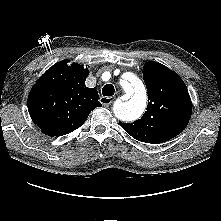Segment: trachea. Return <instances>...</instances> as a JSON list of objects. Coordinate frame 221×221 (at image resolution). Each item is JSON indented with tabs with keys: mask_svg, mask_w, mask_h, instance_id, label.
<instances>
[{
	"mask_svg": "<svg viewBox=\"0 0 221 221\" xmlns=\"http://www.w3.org/2000/svg\"><path fill=\"white\" fill-rule=\"evenodd\" d=\"M114 92H115V89H114V86L112 84H106L102 88L103 96H112V95H114Z\"/></svg>",
	"mask_w": 221,
	"mask_h": 221,
	"instance_id": "1",
	"label": "trachea"
}]
</instances>
